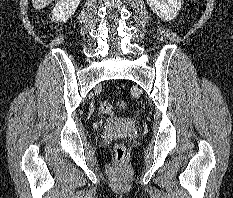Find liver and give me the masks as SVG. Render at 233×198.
<instances>
[{"label":"liver","mask_w":233,"mask_h":198,"mask_svg":"<svg viewBox=\"0 0 233 198\" xmlns=\"http://www.w3.org/2000/svg\"><path fill=\"white\" fill-rule=\"evenodd\" d=\"M54 0H32L33 7L38 10V9H43L50 3H52Z\"/></svg>","instance_id":"obj_1"}]
</instances>
